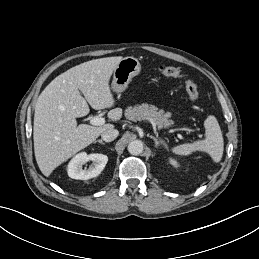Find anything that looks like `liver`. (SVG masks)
Listing matches in <instances>:
<instances>
[{"label":"liver","instance_id":"1","mask_svg":"<svg viewBox=\"0 0 259 259\" xmlns=\"http://www.w3.org/2000/svg\"><path fill=\"white\" fill-rule=\"evenodd\" d=\"M122 59L107 57L81 63L57 76L42 91L35 106L33 139L35 158L43 175L49 176L104 131L114 128L112 124L77 126L76 118L89 113L88 103L95 110L115 105L109 80ZM107 115L119 120L122 109H112Z\"/></svg>","mask_w":259,"mask_h":259}]
</instances>
